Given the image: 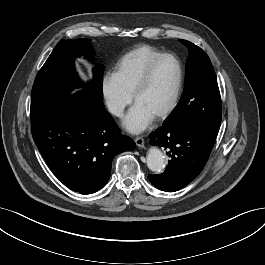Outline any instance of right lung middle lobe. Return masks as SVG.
<instances>
[{"label": "right lung middle lobe", "mask_w": 265, "mask_h": 265, "mask_svg": "<svg viewBox=\"0 0 265 265\" xmlns=\"http://www.w3.org/2000/svg\"><path fill=\"white\" fill-rule=\"evenodd\" d=\"M81 55L93 56L92 45L87 39L61 40L56 45L35 78L31 94V125L55 110L71 96H68L71 88L79 85L74 58ZM103 71V66L96 65L94 79L84 89L99 99L103 97Z\"/></svg>", "instance_id": "dd1d6c3e"}]
</instances>
